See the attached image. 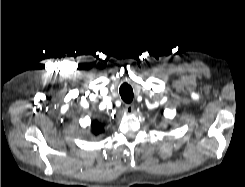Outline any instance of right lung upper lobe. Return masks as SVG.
<instances>
[{"label": "right lung upper lobe", "instance_id": "1", "mask_svg": "<svg viewBox=\"0 0 245 187\" xmlns=\"http://www.w3.org/2000/svg\"><path fill=\"white\" fill-rule=\"evenodd\" d=\"M103 127L104 125L96 120L92 122V130L95 135H98L99 133L103 132Z\"/></svg>", "mask_w": 245, "mask_h": 187}]
</instances>
